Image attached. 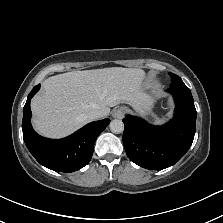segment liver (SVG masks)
<instances>
[{"mask_svg": "<svg viewBox=\"0 0 223 223\" xmlns=\"http://www.w3.org/2000/svg\"><path fill=\"white\" fill-rule=\"evenodd\" d=\"M144 77L142 69L122 67L49 77L43 82L45 92L31 102L34 127L43 136L60 138L90 122L92 110H101L107 116L110 107L120 103L136 109L150 97L142 86Z\"/></svg>", "mask_w": 223, "mask_h": 223, "instance_id": "6515ba94", "label": "liver"}]
</instances>
